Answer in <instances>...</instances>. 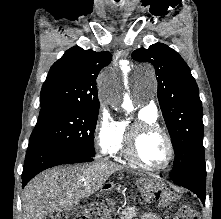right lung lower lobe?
<instances>
[{"label": "right lung lower lobe", "instance_id": "98d812e1", "mask_svg": "<svg viewBox=\"0 0 221 219\" xmlns=\"http://www.w3.org/2000/svg\"><path fill=\"white\" fill-rule=\"evenodd\" d=\"M93 157L69 152L67 150L46 144L34 143L28 146L22 173V188L39 172L61 164H71L93 161Z\"/></svg>", "mask_w": 221, "mask_h": 219}]
</instances>
